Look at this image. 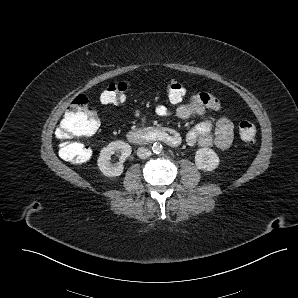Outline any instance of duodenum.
Wrapping results in <instances>:
<instances>
[{"label":"duodenum","instance_id":"1","mask_svg":"<svg viewBox=\"0 0 298 298\" xmlns=\"http://www.w3.org/2000/svg\"><path fill=\"white\" fill-rule=\"evenodd\" d=\"M127 140L135 145H145L162 142L176 147L180 144L179 134L169 128H142L130 130L126 135Z\"/></svg>","mask_w":298,"mask_h":298}]
</instances>
